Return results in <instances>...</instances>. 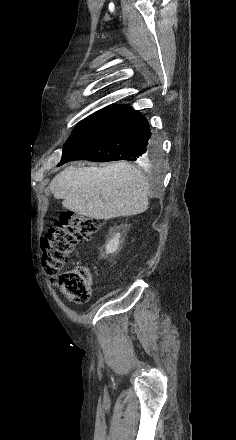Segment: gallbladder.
I'll return each instance as SVG.
<instances>
[{"label": "gallbladder", "mask_w": 236, "mask_h": 440, "mask_svg": "<svg viewBox=\"0 0 236 440\" xmlns=\"http://www.w3.org/2000/svg\"><path fill=\"white\" fill-rule=\"evenodd\" d=\"M45 194H46L47 196H50V195H51V191H50L49 188H46V189H45Z\"/></svg>", "instance_id": "obj_1"}]
</instances>
